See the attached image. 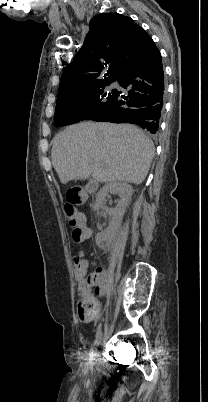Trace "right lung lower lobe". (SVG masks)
Returning <instances> with one entry per match:
<instances>
[{
    "label": "right lung lower lobe",
    "mask_w": 208,
    "mask_h": 402,
    "mask_svg": "<svg viewBox=\"0 0 208 402\" xmlns=\"http://www.w3.org/2000/svg\"><path fill=\"white\" fill-rule=\"evenodd\" d=\"M115 81L128 87V94L116 90L113 107L97 112L91 120L131 123L157 133L165 99L164 71L161 54L147 33L126 58Z\"/></svg>",
    "instance_id": "98d812e1"
}]
</instances>
